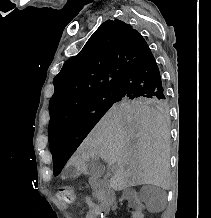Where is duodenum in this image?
I'll use <instances>...</instances> for the list:
<instances>
[{
	"label": "duodenum",
	"instance_id": "410a0bca",
	"mask_svg": "<svg viewBox=\"0 0 211 218\" xmlns=\"http://www.w3.org/2000/svg\"><path fill=\"white\" fill-rule=\"evenodd\" d=\"M90 184L100 197V209L107 212L115 201V193L104 179L91 178Z\"/></svg>",
	"mask_w": 211,
	"mask_h": 218
}]
</instances>
